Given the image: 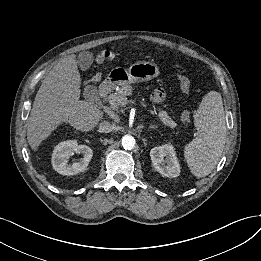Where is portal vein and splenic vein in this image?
Masks as SVG:
<instances>
[{"mask_svg":"<svg viewBox=\"0 0 261 261\" xmlns=\"http://www.w3.org/2000/svg\"><path fill=\"white\" fill-rule=\"evenodd\" d=\"M127 103H128V100H126V101H125V102H123L122 104H123V105H126Z\"/></svg>","mask_w":261,"mask_h":261,"instance_id":"1","label":"portal vein and splenic vein"}]
</instances>
